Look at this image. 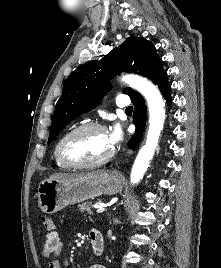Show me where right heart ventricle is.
I'll return each instance as SVG.
<instances>
[{
	"mask_svg": "<svg viewBox=\"0 0 221 268\" xmlns=\"http://www.w3.org/2000/svg\"><path fill=\"white\" fill-rule=\"evenodd\" d=\"M57 144H58V143H57ZM57 144H56V146H55V148H54V158H55V162H56V164H57L59 167H61V168H67V166H65L64 164H62V163L58 160V158H57V155H56Z\"/></svg>",
	"mask_w": 221,
	"mask_h": 268,
	"instance_id": "right-heart-ventricle-1",
	"label": "right heart ventricle"
}]
</instances>
